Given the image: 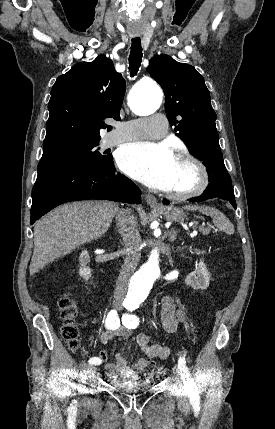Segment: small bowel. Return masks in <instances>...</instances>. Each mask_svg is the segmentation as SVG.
I'll list each match as a JSON object with an SVG mask.
<instances>
[{"mask_svg": "<svg viewBox=\"0 0 275 429\" xmlns=\"http://www.w3.org/2000/svg\"><path fill=\"white\" fill-rule=\"evenodd\" d=\"M159 316L165 334L169 335L177 331L179 324L188 322V309L183 304L177 306L171 296H164L161 300ZM130 335L131 330L121 326L114 330L102 332L99 336V341L101 344H106L115 337H128ZM136 340L146 358H141L132 366H129L126 358L118 353L114 363L105 365V372L109 378H137L138 375L147 368L150 361L153 359L165 360L170 354L168 347L151 343L149 337L145 333H139ZM101 356L104 357L105 354L102 353Z\"/></svg>", "mask_w": 275, "mask_h": 429, "instance_id": "obj_1", "label": "small bowel"}]
</instances>
